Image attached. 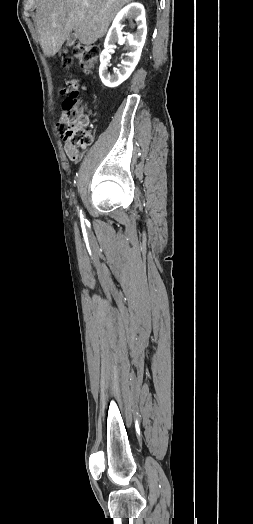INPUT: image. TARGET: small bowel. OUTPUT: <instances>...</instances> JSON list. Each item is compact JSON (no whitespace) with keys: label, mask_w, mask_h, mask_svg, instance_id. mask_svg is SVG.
Returning <instances> with one entry per match:
<instances>
[{"label":"small bowel","mask_w":253,"mask_h":524,"mask_svg":"<svg viewBox=\"0 0 253 524\" xmlns=\"http://www.w3.org/2000/svg\"><path fill=\"white\" fill-rule=\"evenodd\" d=\"M57 95H60V92H57ZM64 151L72 161H77L80 157L78 149L72 148L68 144H65Z\"/></svg>","instance_id":"1"}]
</instances>
